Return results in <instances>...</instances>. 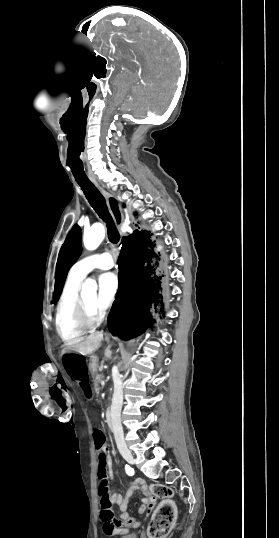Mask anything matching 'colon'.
<instances>
[{"label":"colon","instance_id":"obj_1","mask_svg":"<svg viewBox=\"0 0 279 538\" xmlns=\"http://www.w3.org/2000/svg\"><path fill=\"white\" fill-rule=\"evenodd\" d=\"M95 449L99 457V466L97 470L98 488L100 495L101 514L105 517L114 516L112 504L109 498V484L106 477V459L108 457V446L105 435L97 430L93 433ZM155 496L163 499L158 507L153 521L150 524L148 534L150 538H162L172 528L175 521V507L169 500L172 496V490L166 486L156 484L151 487Z\"/></svg>","mask_w":279,"mask_h":538}]
</instances>
